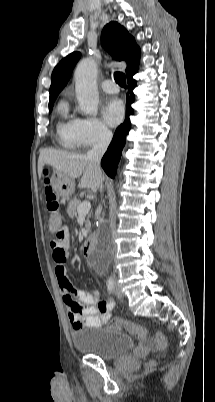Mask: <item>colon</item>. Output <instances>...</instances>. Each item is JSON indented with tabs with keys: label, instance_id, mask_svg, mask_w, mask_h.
Returning <instances> with one entry per match:
<instances>
[{
	"label": "colon",
	"instance_id": "obj_1",
	"mask_svg": "<svg viewBox=\"0 0 215 402\" xmlns=\"http://www.w3.org/2000/svg\"><path fill=\"white\" fill-rule=\"evenodd\" d=\"M42 177H47V172H42ZM45 202L48 211V227L52 231H59L60 217H59V202L54 191L50 187L45 188ZM110 327L116 330H125L128 333L136 336L139 339L146 338V330L141 325L134 324L132 322L116 318L111 321ZM155 342L158 348L162 349L166 346L167 340L163 333L158 332L155 337Z\"/></svg>",
	"mask_w": 215,
	"mask_h": 402
}]
</instances>
